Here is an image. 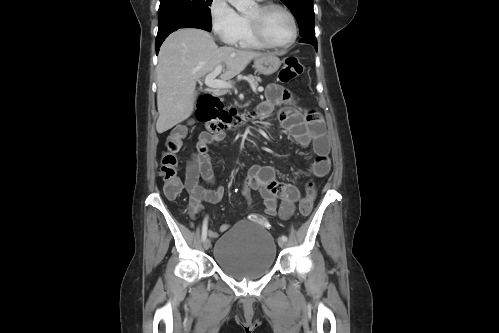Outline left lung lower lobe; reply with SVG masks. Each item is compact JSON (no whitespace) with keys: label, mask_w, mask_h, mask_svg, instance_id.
Masks as SVG:
<instances>
[{"label":"left lung lower lobe","mask_w":499,"mask_h":333,"mask_svg":"<svg viewBox=\"0 0 499 333\" xmlns=\"http://www.w3.org/2000/svg\"><path fill=\"white\" fill-rule=\"evenodd\" d=\"M301 43H309L314 46V48L317 50V41L314 37H302L300 40Z\"/></svg>","instance_id":"1"}]
</instances>
